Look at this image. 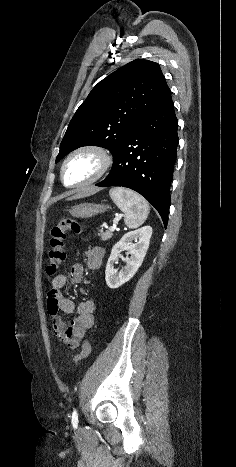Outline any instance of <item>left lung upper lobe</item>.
<instances>
[{
	"label": "left lung upper lobe",
	"mask_w": 236,
	"mask_h": 467,
	"mask_svg": "<svg viewBox=\"0 0 236 467\" xmlns=\"http://www.w3.org/2000/svg\"><path fill=\"white\" fill-rule=\"evenodd\" d=\"M170 91L159 65L136 59L99 82L79 106L60 144L56 162L87 145L115 158L132 128Z\"/></svg>",
	"instance_id": "1"
}]
</instances>
